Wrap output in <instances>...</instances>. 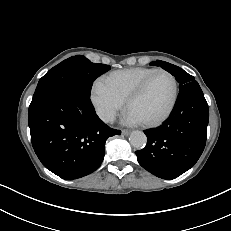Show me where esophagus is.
Listing matches in <instances>:
<instances>
[{
	"instance_id": "obj_1",
	"label": "esophagus",
	"mask_w": 231,
	"mask_h": 231,
	"mask_svg": "<svg viewBox=\"0 0 231 231\" xmlns=\"http://www.w3.org/2000/svg\"><path fill=\"white\" fill-rule=\"evenodd\" d=\"M122 134L124 135V136H127V135H129L130 134V130H122Z\"/></svg>"
}]
</instances>
